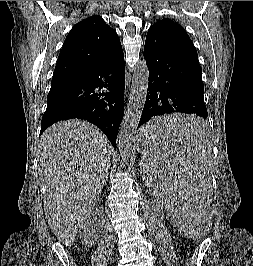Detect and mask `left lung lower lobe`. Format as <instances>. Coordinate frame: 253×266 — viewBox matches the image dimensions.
<instances>
[{
	"instance_id": "obj_1",
	"label": "left lung lower lobe",
	"mask_w": 253,
	"mask_h": 266,
	"mask_svg": "<svg viewBox=\"0 0 253 266\" xmlns=\"http://www.w3.org/2000/svg\"><path fill=\"white\" fill-rule=\"evenodd\" d=\"M144 57L149 70L146 102L140 117L147 140L201 136L204 103L202 68L190 38L159 28L148 31ZM196 114L201 118L173 124L155 125L151 118L169 113ZM148 122V123H147Z\"/></svg>"
}]
</instances>
